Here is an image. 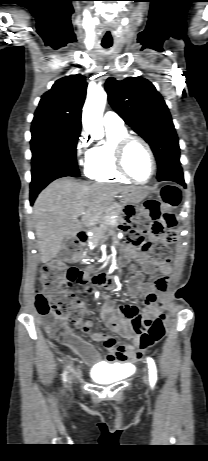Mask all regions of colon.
Wrapping results in <instances>:
<instances>
[{
  "instance_id": "5ec220e1",
  "label": "colon",
  "mask_w": 208,
  "mask_h": 461,
  "mask_svg": "<svg viewBox=\"0 0 208 461\" xmlns=\"http://www.w3.org/2000/svg\"><path fill=\"white\" fill-rule=\"evenodd\" d=\"M181 192L179 188L166 185L160 191L159 199L146 200L139 217H134L136 229L129 233L127 242L147 253L154 264H164L168 261V253L162 248V236L165 229H171L177 224V216L172 211L179 207ZM147 234L155 238L147 239ZM92 270L68 267L64 259L54 260L43 266L41 272L42 290L35 295L37 312L43 317L48 334L65 343L76 342V338L64 327L63 317L81 318L85 306L71 291L73 284L87 282ZM125 315L130 317L134 311L127 305ZM144 330L138 340H130L131 348L147 350L158 343L165 335L164 316L146 317L143 320Z\"/></svg>"
}]
</instances>
